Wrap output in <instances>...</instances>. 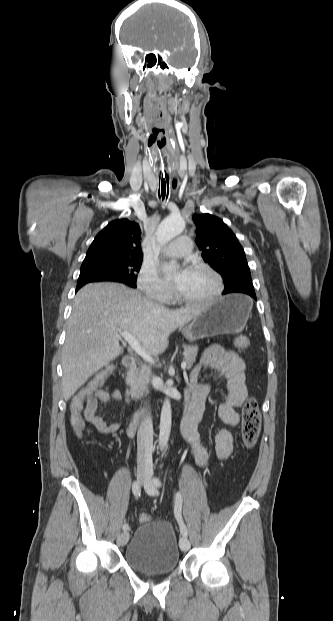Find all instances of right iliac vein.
<instances>
[{
  "instance_id": "obj_1",
  "label": "right iliac vein",
  "mask_w": 333,
  "mask_h": 621,
  "mask_svg": "<svg viewBox=\"0 0 333 621\" xmlns=\"http://www.w3.org/2000/svg\"><path fill=\"white\" fill-rule=\"evenodd\" d=\"M147 474H148V470L143 465H139L138 468H137V479H138V481L139 482L145 481ZM128 539H129V532L125 531V532L119 534V536L117 538V544L119 546H124L128 542Z\"/></svg>"
}]
</instances>
